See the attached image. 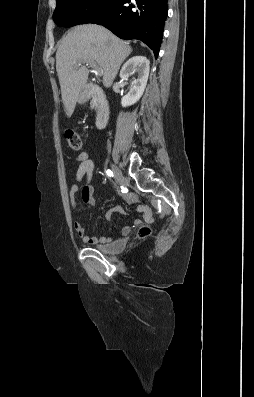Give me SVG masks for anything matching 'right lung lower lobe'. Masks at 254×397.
<instances>
[{"mask_svg":"<svg viewBox=\"0 0 254 397\" xmlns=\"http://www.w3.org/2000/svg\"><path fill=\"white\" fill-rule=\"evenodd\" d=\"M114 0L109 8L89 23L103 25L122 39H139L158 57L167 0Z\"/></svg>","mask_w":254,"mask_h":397,"instance_id":"right-lung-lower-lobe-1","label":"right lung lower lobe"}]
</instances>
